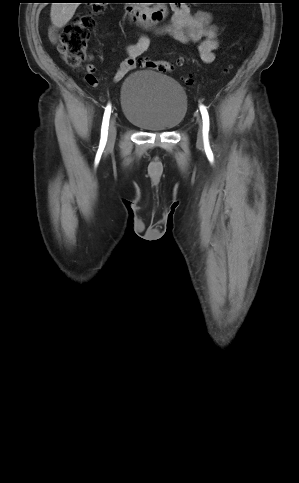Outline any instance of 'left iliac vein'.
<instances>
[{
    "label": "left iliac vein",
    "mask_w": 299,
    "mask_h": 483,
    "mask_svg": "<svg viewBox=\"0 0 299 483\" xmlns=\"http://www.w3.org/2000/svg\"><path fill=\"white\" fill-rule=\"evenodd\" d=\"M197 119H198V123H199L197 141H198L199 144H202L203 140H204L203 129H202V121H201V118L198 115H197Z\"/></svg>",
    "instance_id": "4c4485c4"
}]
</instances>
